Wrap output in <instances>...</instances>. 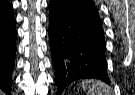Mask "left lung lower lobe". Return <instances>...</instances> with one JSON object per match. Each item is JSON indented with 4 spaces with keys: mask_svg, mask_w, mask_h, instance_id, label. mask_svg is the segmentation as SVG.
I'll list each match as a JSON object with an SVG mask.
<instances>
[{
    "mask_svg": "<svg viewBox=\"0 0 135 95\" xmlns=\"http://www.w3.org/2000/svg\"><path fill=\"white\" fill-rule=\"evenodd\" d=\"M49 10L48 34L58 93L79 79H100L110 84L102 26L52 4Z\"/></svg>",
    "mask_w": 135,
    "mask_h": 95,
    "instance_id": "0a47b994",
    "label": "left lung lower lobe"
}]
</instances>
